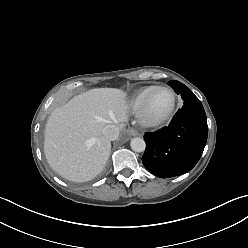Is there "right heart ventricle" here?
Wrapping results in <instances>:
<instances>
[{"label": "right heart ventricle", "mask_w": 248, "mask_h": 248, "mask_svg": "<svg viewBox=\"0 0 248 248\" xmlns=\"http://www.w3.org/2000/svg\"><path fill=\"white\" fill-rule=\"evenodd\" d=\"M155 86H146L134 93L130 100V107L134 112L139 111L146 95L149 93V91Z\"/></svg>", "instance_id": "obj_1"}]
</instances>
